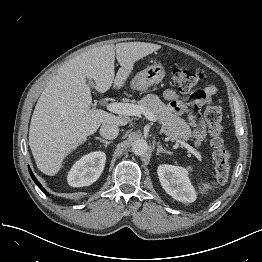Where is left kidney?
Listing matches in <instances>:
<instances>
[{
	"label": "left kidney",
	"mask_w": 262,
	"mask_h": 262,
	"mask_svg": "<svg viewBox=\"0 0 262 262\" xmlns=\"http://www.w3.org/2000/svg\"><path fill=\"white\" fill-rule=\"evenodd\" d=\"M163 189L177 201L191 203L196 200V192L187 171L179 166L160 165L157 169Z\"/></svg>",
	"instance_id": "5707ae66"
}]
</instances>
